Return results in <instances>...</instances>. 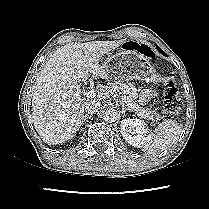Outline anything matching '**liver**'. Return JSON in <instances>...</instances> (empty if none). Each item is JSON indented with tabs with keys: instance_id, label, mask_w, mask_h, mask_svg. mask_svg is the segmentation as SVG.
<instances>
[{
	"instance_id": "1",
	"label": "liver",
	"mask_w": 209,
	"mask_h": 209,
	"mask_svg": "<svg viewBox=\"0 0 209 209\" xmlns=\"http://www.w3.org/2000/svg\"><path fill=\"white\" fill-rule=\"evenodd\" d=\"M124 41L72 42L52 54L37 78L32 98L33 124L44 143H64L79 130L86 102L78 83L90 75L108 79V67L99 60ZM98 90V100L106 99L110 93L103 85H98Z\"/></svg>"
}]
</instances>
